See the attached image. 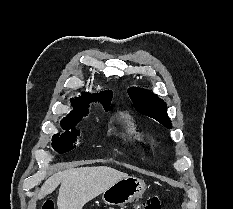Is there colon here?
I'll return each instance as SVG.
<instances>
[{"label":"colon","instance_id":"obj_1","mask_svg":"<svg viewBox=\"0 0 233 209\" xmlns=\"http://www.w3.org/2000/svg\"><path fill=\"white\" fill-rule=\"evenodd\" d=\"M42 209H54L51 201L44 203ZM134 209H162V201L158 195H153L140 202Z\"/></svg>","mask_w":233,"mask_h":209}]
</instances>
